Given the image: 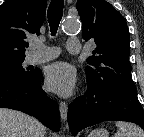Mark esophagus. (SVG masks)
<instances>
[{
	"label": "esophagus",
	"instance_id": "esophagus-1",
	"mask_svg": "<svg viewBox=\"0 0 144 137\" xmlns=\"http://www.w3.org/2000/svg\"><path fill=\"white\" fill-rule=\"evenodd\" d=\"M67 114H68L67 103L64 101H61L60 102V117L64 122L67 121ZM66 127H68V125H66Z\"/></svg>",
	"mask_w": 144,
	"mask_h": 137
}]
</instances>
